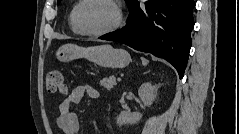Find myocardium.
I'll list each match as a JSON object with an SVG mask.
<instances>
[{
	"label": "myocardium",
	"instance_id": "1",
	"mask_svg": "<svg viewBox=\"0 0 239 134\" xmlns=\"http://www.w3.org/2000/svg\"><path fill=\"white\" fill-rule=\"evenodd\" d=\"M88 1H91V0L80 1L75 10V13H74V24H75L76 28L78 29V31L80 32V34L86 35V36H92V37L104 36V35H107V34H110L114 31H116L122 25L123 13H122V10H121L119 4L114 0H103V1L108 2L115 10L116 19H115L114 23L110 27H108L104 30H100V31L86 30L81 24L80 16H81V10H82L83 6Z\"/></svg>",
	"mask_w": 239,
	"mask_h": 134
}]
</instances>
